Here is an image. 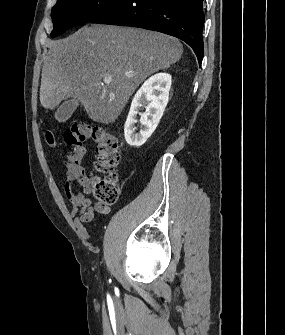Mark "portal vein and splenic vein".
Wrapping results in <instances>:
<instances>
[{"label": "portal vein and splenic vein", "instance_id": "1", "mask_svg": "<svg viewBox=\"0 0 285 335\" xmlns=\"http://www.w3.org/2000/svg\"><path fill=\"white\" fill-rule=\"evenodd\" d=\"M125 76H126V78H133V76H131V74H125ZM103 82H104V84H110V82H112L111 76H105Z\"/></svg>", "mask_w": 285, "mask_h": 335}]
</instances>
